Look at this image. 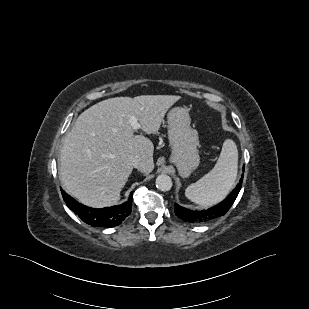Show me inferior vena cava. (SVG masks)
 Here are the masks:
<instances>
[{"label": "inferior vena cava", "mask_w": 309, "mask_h": 309, "mask_svg": "<svg viewBox=\"0 0 309 309\" xmlns=\"http://www.w3.org/2000/svg\"><path fill=\"white\" fill-rule=\"evenodd\" d=\"M131 163H132L133 167H135L137 169H140L141 166H142L141 159L138 156L132 157Z\"/></svg>", "instance_id": "obj_1"}]
</instances>
